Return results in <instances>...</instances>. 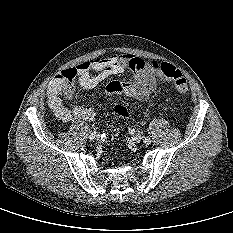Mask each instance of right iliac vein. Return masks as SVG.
Masks as SVG:
<instances>
[{
  "label": "right iliac vein",
  "instance_id": "63e3f726",
  "mask_svg": "<svg viewBox=\"0 0 233 233\" xmlns=\"http://www.w3.org/2000/svg\"><path fill=\"white\" fill-rule=\"evenodd\" d=\"M95 138H96L97 141H99L100 140V134H97Z\"/></svg>",
  "mask_w": 233,
  "mask_h": 233
}]
</instances>
